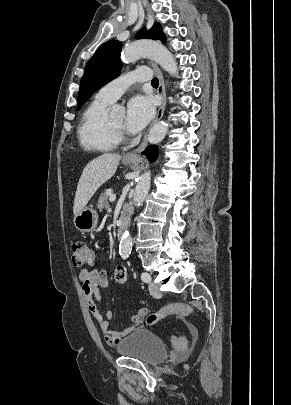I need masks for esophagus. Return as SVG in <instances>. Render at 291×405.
<instances>
[{"label": "esophagus", "mask_w": 291, "mask_h": 405, "mask_svg": "<svg viewBox=\"0 0 291 405\" xmlns=\"http://www.w3.org/2000/svg\"><path fill=\"white\" fill-rule=\"evenodd\" d=\"M151 66L153 67L154 72L156 73L158 80H159V86H158L157 92L160 95L161 100H162L161 105L158 109L156 118L153 121V124H155L162 118V116L165 112V109H166L167 100H166V87H165L163 74L155 63L151 62ZM146 145H147V134L144 136V138H143L141 144L138 146V148L131 152L126 153L124 155V159H132V160L137 159L139 156V153H141L145 149Z\"/></svg>", "instance_id": "34e87169"}]
</instances>
